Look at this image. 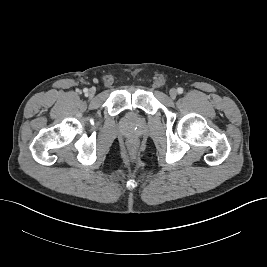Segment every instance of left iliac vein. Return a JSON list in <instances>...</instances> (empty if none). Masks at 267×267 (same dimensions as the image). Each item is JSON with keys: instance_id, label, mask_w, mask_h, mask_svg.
Here are the masks:
<instances>
[{"instance_id": "left-iliac-vein-1", "label": "left iliac vein", "mask_w": 267, "mask_h": 267, "mask_svg": "<svg viewBox=\"0 0 267 267\" xmlns=\"http://www.w3.org/2000/svg\"><path fill=\"white\" fill-rule=\"evenodd\" d=\"M169 94H170V97L174 99L177 96V90L176 89H171L169 91Z\"/></svg>"}]
</instances>
